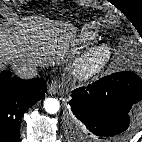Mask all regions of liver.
<instances>
[{
  "mask_svg": "<svg viewBox=\"0 0 142 142\" xmlns=\"http://www.w3.org/2000/svg\"><path fill=\"white\" fill-rule=\"evenodd\" d=\"M29 21L21 26V30L12 36L0 28V66L5 60L25 58L27 62L44 66L48 60L61 53L64 46L62 33L51 21Z\"/></svg>",
  "mask_w": 142,
  "mask_h": 142,
  "instance_id": "obj_1",
  "label": "liver"
}]
</instances>
